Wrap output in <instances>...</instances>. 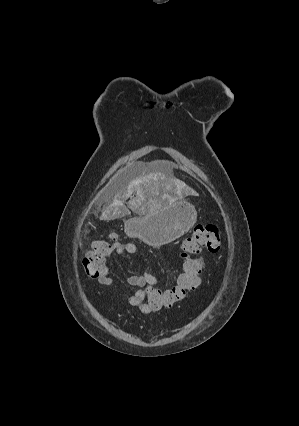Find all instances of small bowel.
I'll list each match as a JSON object with an SVG mask.
<instances>
[{"label": "small bowel", "instance_id": "small-bowel-1", "mask_svg": "<svg viewBox=\"0 0 299 426\" xmlns=\"http://www.w3.org/2000/svg\"><path fill=\"white\" fill-rule=\"evenodd\" d=\"M110 253H115L117 255L136 254L137 247L133 243L115 242L111 247ZM196 261L199 263L202 269L204 266L202 259H196ZM97 281L99 284L104 286H111L115 288L119 287L115 280L109 275V269L106 264L97 277ZM127 283L132 288H134L133 292L123 290V296L128 305L138 308L146 314L156 311L147 303L145 299V288L146 286L152 284L161 286L164 284V281L150 272L142 271L140 274H133L128 276Z\"/></svg>", "mask_w": 299, "mask_h": 426}]
</instances>
